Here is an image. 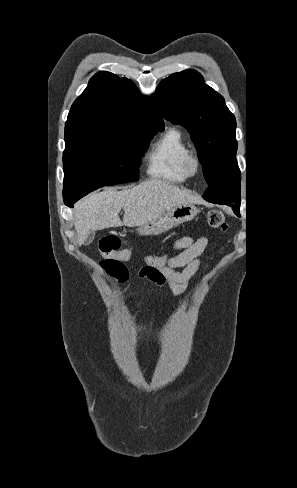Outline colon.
Returning <instances> with one entry per match:
<instances>
[{
  "label": "colon",
  "mask_w": 297,
  "mask_h": 488,
  "mask_svg": "<svg viewBox=\"0 0 297 488\" xmlns=\"http://www.w3.org/2000/svg\"><path fill=\"white\" fill-rule=\"evenodd\" d=\"M207 224L211 228L226 230L227 223L220 210L214 209L207 214ZM99 249L104 255L101 260V267L119 282H124L128 278V270L124 262L132 259L133 253L129 249H123L117 237L107 235L99 242ZM175 256V252L169 255L155 256L148 255L145 257V265L140 270V276L146 277L150 272L165 268L169 261Z\"/></svg>",
  "instance_id": "obj_1"
}]
</instances>
